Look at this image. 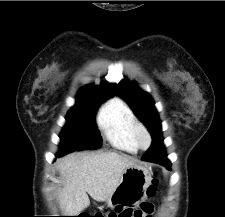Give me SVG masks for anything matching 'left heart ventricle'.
I'll list each match as a JSON object with an SVG mask.
<instances>
[{
	"mask_svg": "<svg viewBox=\"0 0 225 217\" xmlns=\"http://www.w3.org/2000/svg\"><path fill=\"white\" fill-rule=\"evenodd\" d=\"M143 142H145V138H143Z\"/></svg>",
	"mask_w": 225,
	"mask_h": 217,
	"instance_id": "1",
	"label": "left heart ventricle"
}]
</instances>
